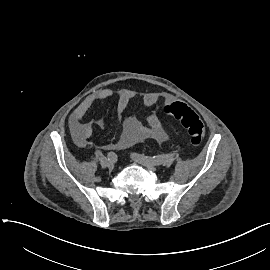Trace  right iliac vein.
I'll return each mask as SVG.
<instances>
[{"mask_svg":"<svg viewBox=\"0 0 270 270\" xmlns=\"http://www.w3.org/2000/svg\"><path fill=\"white\" fill-rule=\"evenodd\" d=\"M107 166H108V168L110 169V170H112V169H114V167H115V163L113 162V161H108L107 162Z\"/></svg>","mask_w":270,"mask_h":270,"instance_id":"obj_1","label":"right iliac vein"}]
</instances>
